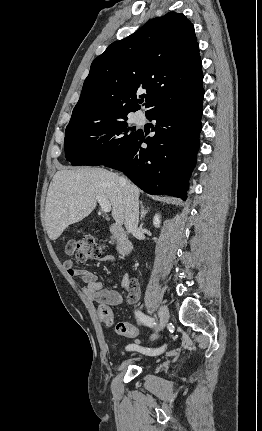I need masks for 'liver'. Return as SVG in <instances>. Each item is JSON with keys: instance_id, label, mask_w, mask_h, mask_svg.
Returning a JSON list of instances; mask_svg holds the SVG:
<instances>
[{"instance_id": "liver-1", "label": "liver", "mask_w": 262, "mask_h": 431, "mask_svg": "<svg viewBox=\"0 0 262 431\" xmlns=\"http://www.w3.org/2000/svg\"><path fill=\"white\" fill-rule=\"evenodd\" d=\"M129 184L138 197L139 188ZM97 196L109 200L112 217L116 223L122 224L126 192L116 173L99 167L59 170L52 179L46 198L45 227L49 238L56 240L69 225L87 217L96 207Z\"/></svg>"}]
</instances>
